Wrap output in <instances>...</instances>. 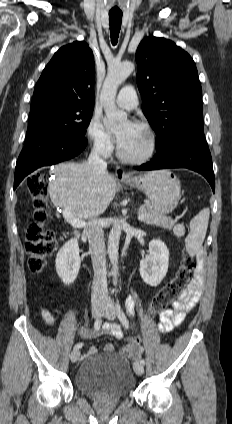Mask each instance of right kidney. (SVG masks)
<instances>
[{
  "mask_svg": "<svg viewBox=\"0 0 232 424\" xmlns=\"http://www.w3.org/2000/svg\"><path fill=\"white\" fill-rule=\"evenodd\" d=\"M81 260L76 239L66 242L56 257V272L65 285L72 284L79 273Z\"/></svg>",
  "mask_w": 232,
  "mask_h": 424,
  "instance_id": "right-kidney-1",
  "label": "right kidney"
}]
</instances>
